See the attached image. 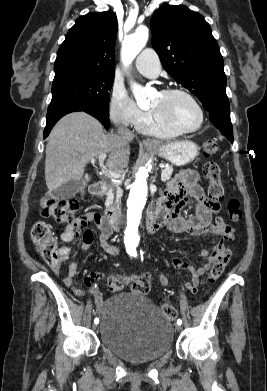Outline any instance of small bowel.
<instances>
[{"label":"small bowel","instance_id":"1","mask_svg":"<svg viewBox=\"0 0 267 391\" xmlns=\"http://www.w3.org/2000/svg\"><path fill=\"white\" fill-rule=\"evenodd\" d=\"M199 176L194 170H186L176 176L159 201L158 211L165 217V224L171 233H185L193 236L203 233H213L221 236L219 242L211 249H203L200 253L201 257L207 260V263L195 267L184 261L179 256L173 258V265L178 270H186L190 274V279L185 282V288L196 293L199 286L200 277L209 270L210 265L214 263L219 255L225 250V243L231 242L234 239V229L220 217H215L220 207L218 204L211 202L205 195L203 189L198 183ZM196 201L195 215L189 218H184L180 215L181 210L189 203L190 199ZM85 219L78 221L75 224H68L60 234V239L63 243H71L77 237L80 231L87 227L91 222H95L100 232V241L102 248L110 255H117L119 250L113 245L109 239L112 234V229L107 225L106 221L98 214H87ZM215 217V218H214ZM93 242V232L91 229H86L83 234L81 244L82 250H88ZM60 262L55 267V271L59 272L62 264L68 262L70 258V248L62 246L58 250ZM78 263L71 261L66 266L64 283L71 285L73 278L77 275ZM103 276L101 273L91 272L85 275L84 282L88 286L95 298L97 305L103 303L102 293L96 288L95 282ZM158 279L163 286L168 285V280L160 273ZM77 295H81L82 291L79 288H74Z\"/></svg>","mask_w":267,"mask_h":391}]
</instances>
